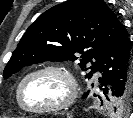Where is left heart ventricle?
<instances>
[{
  "instance_id": "b2bd125f",
  "label": "left heart ventricle",
  "mask_w": 133,
  "mask_h": 118,
  "mask_svg": "<svg viewBox=\"0 0 133 118\" xmlns=\"http://www.w3.org/2000/svg\"><path fill=\"white\" fill-rule=\"evenodd\" d=\"M67 93L66 80L60 74L44 72L27 80L22 97L28 107L41 108L61 102Z\"/></svg>"
}]
</instances>
